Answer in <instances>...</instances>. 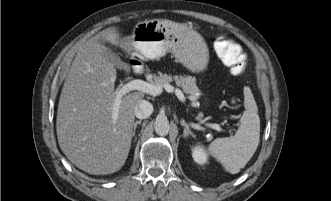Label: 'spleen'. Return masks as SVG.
<instances>
[{
    "label": "spleen",
    "instance_id": "spleen-1",
    "mask_svg": "<svg viewBox=\"0 0 331 201\" xmlns=\"http://www.w3.org/2000/svg\"><path fill=\"white\" fill-rule=\"evenodd\" d=\"M245 108L236 134L216 138L208 146V152L231 174H236L245 167L259 145L260 119L252 95L246 97Z\"/></svg>",
    "mask_w": 331,
    "mask_h": 201
}]
</instances>
